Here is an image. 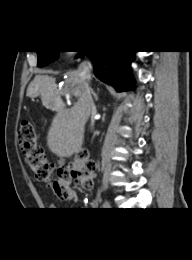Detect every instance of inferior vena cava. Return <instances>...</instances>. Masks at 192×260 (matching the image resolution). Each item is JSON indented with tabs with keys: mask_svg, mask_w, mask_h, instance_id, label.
<instances>
[{
	"mask_svg": "<svg viewBox=\"0 0 192 260\" xmlns=\"http://www.w3.org/2000/svg\"><path fill=\"white\" fill-rule=\"evenodd\" d=\"M78 72L80 73L81 76V80L85 89V94L87 96L88 99V103L90 105L91 111L94 112L95 111V106L91 97V90L89 87V82L91 79V63L89 61H84L82 62L79 67H78Z\"/></svg>",
	"mask_w": 192,
	"mask_h": 260,
	"instance_id": "obj_1",
	"label": "inferior vena cava"
}]
</instances>
